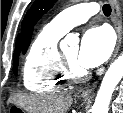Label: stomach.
I'll return each mask as SVG.
<instances>
[{
  "label": "stomach",
  "mask_w": 123,
  "mask_h": 113,
  "mask_svg": "<svg viewBox=\"0 0 123 113\" xmlns=\"http://www.w3.org/2000/svg\"><path fill=\"white\" fill-rule=\"evenodd\" d=\"M84 98H86V97H84ZM10 110H11L12 112H23L22 109H21L20 107H18L17 105H12V106L10 107Z\"/></svg>",
  "instance_id": "0dacf381"
}]
</instances>
